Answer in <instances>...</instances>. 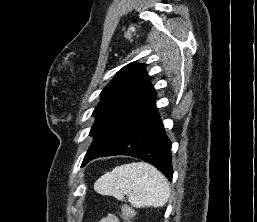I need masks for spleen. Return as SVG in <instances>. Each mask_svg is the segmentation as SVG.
I'll list each match as a JSON object with an SVG mask.
<instances>
[{
  "instance_id": "obj_1",
  "label": "spleen",
  "mask_w": 257,
  "mask_h": 222,
  "mask_svg": "<svg viewBox=\"0 0 257 222\" xmlns=\"http://www.w3.org/2000/svg\"><path fill=\"white\" fill-rule=\"evenodd\" d=\"M101 195L114 196L135 208L162 207L170 197V188L164 175L152 165L134 162L115 167L94 184Z\"/></svg>"
}]
</instances>
